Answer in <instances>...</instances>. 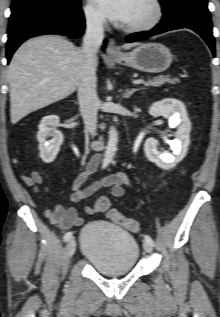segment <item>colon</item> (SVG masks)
I'll list each match as a JSON object with an SVG mask.
<instances>
[{
    "label": "colon",
    "instance_id": "colon-1",
    "mask_svg": "<svg viewBox=\"0 0 220 317\" xmlns=\"http://www.w3.org/2000/svg\"><path fill=\"white\" fill-rule=\"evenodd\" d=\"M103 206L106 207L108 218L114 223L125 227L129 231L137 232L140 229V224L137 220L128 218L122 214H120L116 209L110 208L109 203H103Z\"/></svg>",
    "mask_w": 220,
    "mask_h": 317
}]
</instances>
